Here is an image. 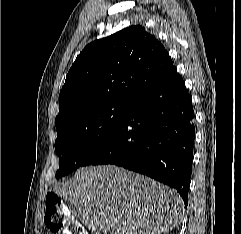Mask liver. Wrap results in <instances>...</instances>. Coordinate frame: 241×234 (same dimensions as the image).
<instances>
[{
  "instance_id": "liver-1",
  "label": "liver",
  "mask_w": 241,
  "mask_h": 234,
  "mask_svg": "<svg viewBox=\"0 0 241 234\" xmlns=\"http://www.w3.org/2000/svg\"><path fill=\"white\" fill-rule=\"evenodd\" d=\"M53 191L82 211L94 234H161L182 220L176 190L115 165L80 168Z\"/></svg>"
}]
</instances>
